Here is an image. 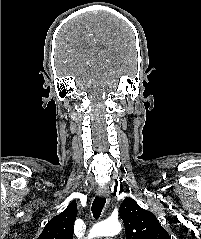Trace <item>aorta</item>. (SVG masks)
Segmentation results:
<instances>
[{
	"label": "aorta",
	"mask_w": 201,
	"mask_h": 239,
	"mask_svg": "<svg viewBox=\"0 0 201 239\" xmlns=\"http://www.w3.org/2000/svg\"><path fill=\"white\" fill-rule=\"evenodd\" d=\"M121 229V224L118 221L106 220L93 226L88 235V239L103 236H114L118 234Z\"/></svg>",
	"instance_id": "1"
}]
</instances>
